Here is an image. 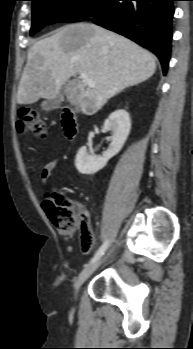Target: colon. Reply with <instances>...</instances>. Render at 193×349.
Instances as JSON below:
<instances>
[{"instance_id":"1","label":"colon","mask_w":193,"mask_h":349,"mask_svg":"<svg viewBox=\"0 0 193 349\" xmlns=\"http://www.w3.org/2000/svg\"><path fill=\"white\" fill-rule=\"evenodd\" d=\"M16 128L21 135H33L38 139L47 136L46 125L40 114L31 107H21L17 112ZM44 209L51 220L61 231L73 232L81 223L75 203L61 192H53L46 196Z\"/></svg>"}]
</instances>
